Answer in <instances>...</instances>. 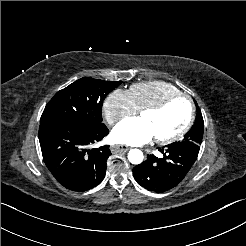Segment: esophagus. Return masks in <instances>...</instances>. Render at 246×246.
I'll list each match as a JSON object with an SVG mask.
<instances>
[{
  "instance_id": "34e87169",
  "label": "esophagus",
  "mask_w": 246,
  "mask_h": 246,
  "mask_svg": "<svg viewBox=\"0 0 246 246\" xmlns=\"http://www.w3.org/2000/svg\"><path fill=\"white\" fill-rule=\"evenodd\" d=\"M110 149L112 153H118V152H126L130 148L126 145H112Z\"/></svg>"
}]
</instances>
